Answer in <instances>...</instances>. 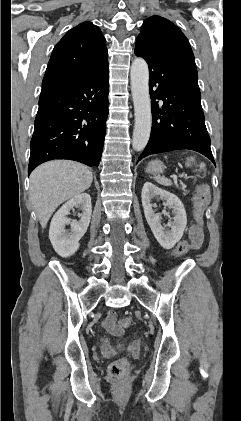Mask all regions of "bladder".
I'll list each match as a JSON object with an SVG mask.
<instances>
[{
    "label": "bladder",
    "mask_w": 241,
    "mask_h": 421,
    "mask_svg": "<svg viewBox=\"0 0 241 421\" xmlns=\"http://www.w3.org/2000/svg\"><path fill=\"white\" fill-rule=\"evenodd\" d=\"M124 346V344H120V347H123Z\"/></svg>",
    "instance_id": "1"
}]
</instances>
